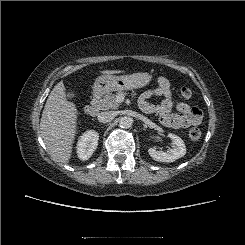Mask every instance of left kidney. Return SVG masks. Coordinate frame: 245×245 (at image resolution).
Here are the masks:
<instances>
[{"instance_id": "obj_1", "label": "left kidney", "mask_w": 245, "mask_h": 245, "mask_svg": "<svg viewBox=\"0 0 245 245\" xmlns=\"http://www.w3.org/2000/svg\"><path fill=\"white\" fill-rule=\"evenodd\" d=\"M168 137L172 140V148L166 151H158L155 148H149V155L159 162H174L186 154V147L184 141L177 135L169 133Z\"/></svg>"}]
</instances>
